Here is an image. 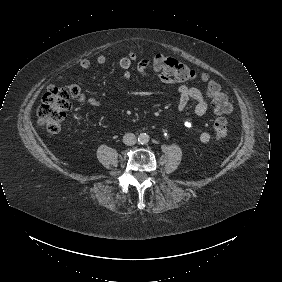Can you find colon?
Instances as JSON below:
<instances>
[{
	"mask_svg": "<svg viewBox=\"0 0 282 282\" xmlns=\"http://www.w3.org/2000/svg\"><path fill=\"white\" fill-rule=\"evenodd\" d=\"M153 66L167 82L177 85L189 83L196 77V73L186 64L162 54L155 55ZM202 80L207 93L213 99L216 110L220 113H229L232 110V103L222 93L220 87L206 75L202 77ZM80 101L81 95L78 89L51 84L46 89L37 109L38 123L48 133L57 134L65 120L66 112L74 102ZM212 130L217 142L223 140L229 134L227 121L223 118H216L213 121Z\"/></svg>",
	"mask_w": 282,
	"mask_h": 282,
	"instance_id": "obj_1",
	"label": "colon"
}]
</instances>
